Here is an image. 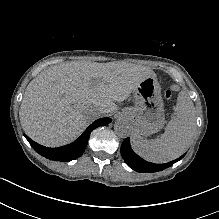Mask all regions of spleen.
<instances>
[{"instance_id":"1","label":"spleen","mask_w":219,"mask_h":219,"mask_svg":"<svg viewBox=\"0 0 219 219\" xmlns=\"http://www.w3.org/2000/svg\"><path fill=\"white\" fill-rule=\"evenodd\" d=\"M196 127V113L193 101L186 91H180L174 116L160 139L144 140L139 134H132V148L143 159L153 163H166L178 158L190 146Z\"/></svg>"}]
</instances>
